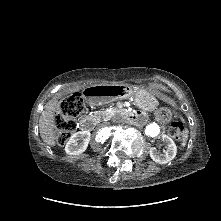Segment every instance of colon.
Returning <instances> with one entry per match:
<instances>
[{
    "mask_svg": "<svg viewBox=\"0 0 221 221\" xmlns=\"http://www.w3.org/2000/svg\"><path fill=\"white\" fill-rule=\"evenodd\" d=\"M85 110L83 97L79 93L64 97L59 104V111L55 118V136L59 144H64L76 129V118ZM155 116L161 123H167L171 119L168 107L161 106ZM170 136L180 141L185 135V127L181 121H172L169 125Z\"/></svg>",
    "mask_w": 221,
    "mask_h": 221,
    "instance_id": "5ec220e1",
    "label": "colon"
}]
</instances>
